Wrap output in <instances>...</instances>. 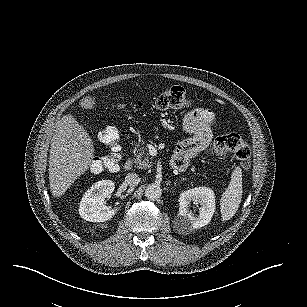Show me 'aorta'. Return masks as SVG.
<instances>
[{
  "label": "aorta",
  "mask_w": 307,
  "mask_h": 307,
  "mask_svg": "<svg viewBox=\"0 0 307 307\" xmlns=\"http://www.w3.org/2000/svg\"><path fill=\"white\" fill-rule=\"evenodd\" d=\"M144 195L149 200H157L162 196V189L160 185L151 183L146 186Z\"/></svg>",
  "instance_id": "aorta-1"
}]
</instances>
